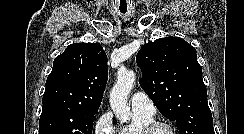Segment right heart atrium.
Segmentation results:
<instances>
[{"mask_svg":"<svg viewBox=\"0 0 244 134\" xmlns=\"http://www.w3.org/2000/svg\"><path fill=\"white\" fill-rule=\"evenodd\" d=\"M93 134H116L110 112L103 113L94 123Z\"/></svg>","mask_w":244,"mask_h":134,"instance_id":"d8ad5b80","label":"right heart atrium"}]
</instances>
